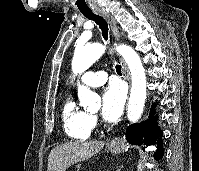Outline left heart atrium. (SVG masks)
Masks as SVG:
<instances>
[{"instance_id": "39dd6f15", "label": "left heart atrium", "mask_w": 199, "mask_h": 171, "mask_svg": "<svg viewBox=\"0 0 199 171\" xmlns=\"http://www.w3.org/2000/svg\"><path fill=\"white\" fill-rule=\"evenodd\" d=\"M126 101V92L120 83H112L102 95V117L114 122L121 116Z\"/></svg>"}]
</instances>
